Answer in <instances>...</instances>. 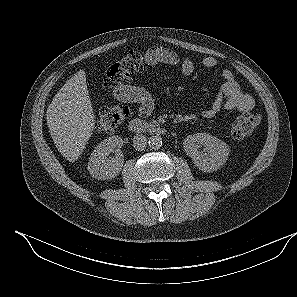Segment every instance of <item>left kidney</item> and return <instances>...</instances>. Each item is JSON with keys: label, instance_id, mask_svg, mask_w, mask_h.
I'll return each instance as SVG.
<instances>
[{"label": "left kidney", "instance_id": "1", "mask_svg": "<svg viewBox=\"0 0 297 297\" xmlns=\"http://www.w3.org/2000/svg\"><path fill=\"white\" fill-rule=\"evenodd\" d=\"M186 154L201 171L211 172L219 169L227 161L230 149L222 140L208 133L189 135L183 142ZM203 147V151L199 148Z\"/></svg>", "mask_w": 297, "mask_h": 297}]
</instances>
